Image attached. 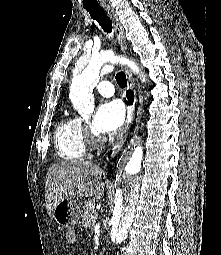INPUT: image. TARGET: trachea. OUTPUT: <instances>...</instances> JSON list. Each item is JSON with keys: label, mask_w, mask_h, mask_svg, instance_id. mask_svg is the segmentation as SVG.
Instances as JSON below:
<instances>
[{"label": "trachea", "mask_w": 221, "mask_h": 255, "mask_svg": "<svg viewBox=\"0 0 221 255\" xmlns=\"http://www.w3.org/2000/svg\"><path fill=\"white\" fill-rule=\"evenodd\" d=\"M86 10L89 12L92 19L96 20L99 25L102 27L104 32L111 33L112 32V22L109 19V17L106 15L105 11L103 9L94 8V9H88ZM116 81L118 85L122 88H125L127 86V79L124 72H118L116 74Z\"/></svg>", "instance_id": "trachea-1"}]
</instances>
